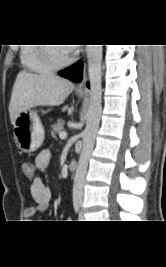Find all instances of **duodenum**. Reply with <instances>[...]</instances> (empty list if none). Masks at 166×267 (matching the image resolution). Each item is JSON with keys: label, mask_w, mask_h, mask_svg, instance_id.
Masks as SVG:
<instances>
[{"label": "duodenum", "mask_w": 166, "mask_h": 267, "mask_svg": "<svg viewBox=\"0 0 166 267\" xmlns=\"http://www.w3.org/2000/svg\"><path fill=\"white\" fill-rule=\"evenodd\" d=\"M77 169V163L75 161H71L70 164H69V170L70 172H75Z\"/></svg>", "instance_id": "1"}]
</instances>
